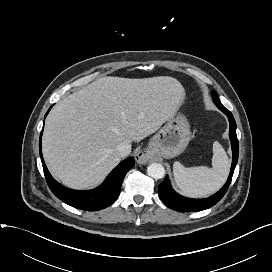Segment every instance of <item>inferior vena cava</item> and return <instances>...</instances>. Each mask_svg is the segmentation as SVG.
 Here are the masks:
<instances>
[{
	"instance_id": "602c4592",
	"label": "inferior vena cava",
	"mask_w": 272,
	"mask_h": 272,
	"mask_svg": "<svg viewBox=\"0 0 272 272\" xmlns=\"http://www.w3.org/2000/svg\"><path fill=\"white\" fill-rule=\"evenodd\" d=\"M116 150L118 151L121 157H125L129 155L131 152V144L127 141H124L116 147Z\"/></svg>"
}]
</instances>
